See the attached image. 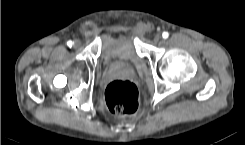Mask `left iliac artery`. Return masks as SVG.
<instances>
[{
  "label": "left iliac artery",
  "mask_w": 245,
  "mask_h": 145,
  "mask_svg": "<svg viewBox=\"0 0 245 145\" xmlns=\"http://www.w3.org/2000/svg\"><path fill=\"white\" fill-rule=\"evenodd\" d=\"M168 36H169L168 32H163V33H162V37H163V38L166 39V38H168Z\"/></svg>",
  "instance_id": "obj_1"
}]
</instances>
